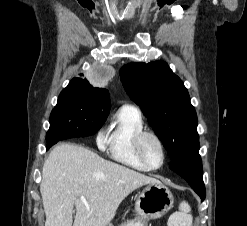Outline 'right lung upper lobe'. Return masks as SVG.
<instances>
[{"label":"right lung upper lobe","mask_w":247,"mask_h":226,"mask_svg":"<svg viewBox=\"0 0 247 226\" xmlns=\"http://www.w3.org/2000/svg\"><path fill=\"white\" fill-rule=\"evenodd\" d=\"M66 88L97 98L103 102L105 106L104 109L109 112L110 98L107 89L93 87L86 78H73Z\"/></svg>","instance_id":"cb5924a9"}]
</instances>
